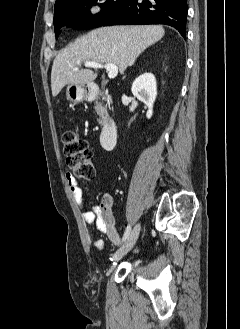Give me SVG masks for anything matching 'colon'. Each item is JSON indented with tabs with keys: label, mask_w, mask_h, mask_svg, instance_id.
I'll return each mask as SVG.
<instances>
[{
	"label": "colon",
	"mask_w": 240,
	"mask_h": 329,
	"mask_svg": "<svg viewBox=\"0 0 240 329\" xmlns=\"http://www.w3.org/2000/svg\"><path fill=\"white\" fill-rule=\"evenodd\" d=\"M62 141L67 164L75 176L85 180L93 179L95 168L89 143L72 130L64 132Z\"/></svg>",
	"instance_id": "obj_1"
}]
</instances>
